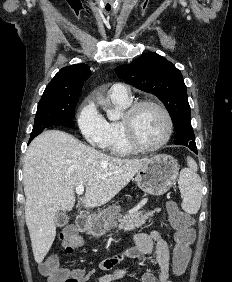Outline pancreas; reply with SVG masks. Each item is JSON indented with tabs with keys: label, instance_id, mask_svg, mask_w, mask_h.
<instances>
[{
	"label": "pancreas",
	"instance_id": "cf45deb5",
	"mask_svg": "<svg viewBox=\"0 0 232 282\" xmlns=\"http://www.w3.org/2000/svg\"><path fill=\"white\" fill-rule=\"evenodd\" d=\"M155 212H160V209H155L154 211L146 212L144 214L141 212H131L124 216L118 215L116 217L117 221L113 220L109 226L112 229L118 228L119 230H132L143 226L146 220H148L150 217H153Z\"/></svg>",
	"mask_w": 232,
	"mask_h": 282
}]
</instances>
